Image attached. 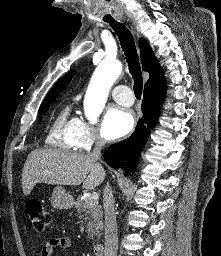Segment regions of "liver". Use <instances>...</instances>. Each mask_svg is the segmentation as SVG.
<instances>
[{"label": "liver", "mask_w": 221, "mask_h": 256, "mask_svg": "<svg viewBox=\"0 0 221 256\" xmlns=\"http://www.w3.org/2000/svg\"><path fill=\"white\" fill-rule=\"evenodd\" d=\"M105 171L89 155L61 149H36L22 170V189L28 196L37 183L76 186L85 189L100 185Z\"/></svg>", "instance_id": "liver-1"}]
</instances>
